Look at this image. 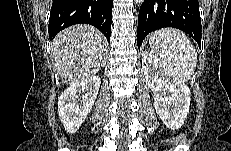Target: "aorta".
Masks as SVG:
<instances>
[{
    "mask_svg": "<svg viewBox=\"0 0 231 151\" xmlns=\"http://www.w3.org/2000/svg\"><path fill=\"white\" fill-rule=\"evenodd\" d=\"M144 1L143 0H135L136 4H142Z\"/></svg>",
    "mask_w": 231,
    "mask_h": 151,
    "instance_id": "762f6f07",
    "label": "aorta"
}]
</instances>
